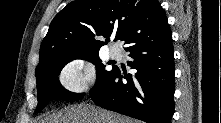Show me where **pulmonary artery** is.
Here are the masks:
<instances>
[{
  "mask_svg": "<svg viewBox=\"0 0 221 123\" xmlns=\"http://www.w3.org/2000/svg\"><path fill=\"white\" fill-rule=\"evenodd\" d=\"M110 55L114 59H119L121 57V51L118 48L112 47L110 49Z\"/></svg>",
  "mask_w": 221,
  "mask_h": 123,
  "instance_id": "1",
  "label": "pulmonary artery"
}]
</instances>
